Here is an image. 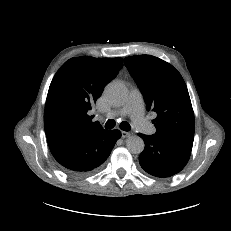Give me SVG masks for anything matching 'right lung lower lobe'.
Wrapping results in <instances>:
<instances>
[{"instance_id": "right-lung-lower-lobe-1", "label": "right lung lower lobe", "mask_w": 231, "mask_h": 231, "mask_svg": "<svg viewBox=\"0 0 231 231\" xmlns=\"http://www.w3.org/2000/svg\"><path fill=\"white\" fill-rule=\"evenodd\" d=\"M120 137L118 130H99L50 139L48 145L63 170L69 175L79 176L96 170L104 163Z\"/></svg>"}]
</instances>
